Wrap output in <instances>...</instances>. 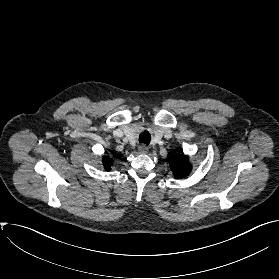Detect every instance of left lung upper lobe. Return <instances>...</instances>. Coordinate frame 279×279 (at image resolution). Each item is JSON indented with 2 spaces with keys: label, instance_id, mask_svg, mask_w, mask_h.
I'll return each mask as SVG.
<instances>
[{
  "label": "left lung upper lobe",
  "instance_id": "5c2ea615",
  "mask_svg": "<svg viewBox=\"0 0 279 279\" xmlns=\"http://www.w3.org/2000/svg\"><path fill=\"white\" fill-rule=\"evenodd\" d=\"M170 167L175 176L178 178L187 176L191 171L190 164L185 156L175 157L172 159L170 162Z\"/></svg>",
  "mask_w": 279,
  "mask_h": 279
}]
</instances>
